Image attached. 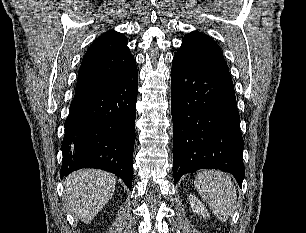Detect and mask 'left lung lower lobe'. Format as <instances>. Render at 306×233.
<instances>
[{
	"label": "left lung lower lobe",
	"instance_id": "0a47b994",
	"mask_svg": "<svg viewBox=\"0 0 306 233\" xmlns=\"http://www.w3.org/2000/svg\"><path fill=\"white\" fill-rule=\"evenodd\" d=\"M173 178L198 169L245 176L240 117L227 70L176 54L171 69Z\"/></svg>",
	"mask_w": 306,
	"mask_h": 233
}]
</instances>
